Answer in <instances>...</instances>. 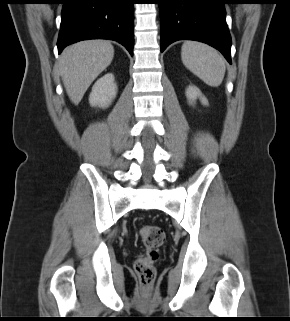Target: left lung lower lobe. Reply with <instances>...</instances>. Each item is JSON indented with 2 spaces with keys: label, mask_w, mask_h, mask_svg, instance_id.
<instances>
[{
  "label": "left lung lower lobe",
  "mask_w": 290,
  "mask_h": 321,
  "mask_svg": "<svg viewBox=\"0 0 290 321\" xmlns=\"http://www.w3.org/2000/svg\"><path fill=\"white\" fill-rule=\"evenodd\" d=\"M227 0H160L161 52L177 40H196L218 49L231 64Z\"/></svg>",
  "instance_id": "1"
}]
</instances>
